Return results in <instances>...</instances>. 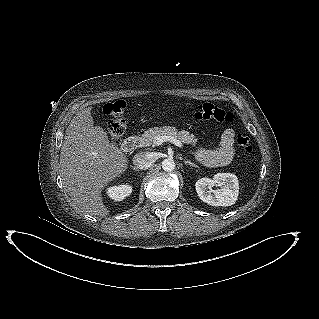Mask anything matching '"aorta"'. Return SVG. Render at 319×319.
Here are the masks:
<instances>
[{"mask_svg": "<svg viewBox=\"0 0 319 319\" xmlns=\"http://www.w3.org/2000/svg\"><path fill=\"white\" fill-rule=\"evenodd\" d=\"M162 168L166 172H171L175 169V162L172 159H165L162 162Z\"/></svg>", "mask_w": 319, "mask_h": 319, "instance_id": "aorta-1", "label": "aorta"}]
</instances>
